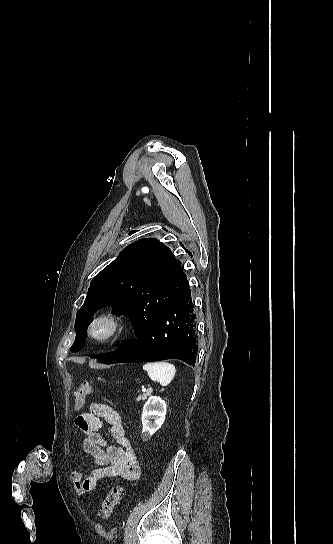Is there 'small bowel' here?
Returning a JSON list of instances; mask_svg holds the SVG:
<instances>
[{
	"instance_id": "small-bowel-1",
	"label": "small bowel",
	"mask_w": 333,
	"mask_h": 544,
	"mask_svg": "<svg viewBox=\"0 0 333 544\" xmlns=\"http://www.w3.org/2000/svg\"><path fill=\"white\" fill-rule=\"evenodd\" d=\"M76 426L85 434L82 441L84 452L90 455L98 466L87 477L80 471L71 473V480L78 494L95 490L100 480L121 477L128 480L140 476L138 457L131 440L125 433L121 415L111 406L91 403L89 413L75 420ZM108 426L114 444L109 445L102 434Z\"/></svg>"
}]
</instances>
